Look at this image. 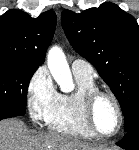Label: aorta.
Returning a JSON list of instances; mask_svg holds the SVG:
<instances>
[{
  "mask_svg": "<svg viewBox=\"0 0 139 150\" xmlns=\"http://www.w3.org/2000/svg\"><path fill=\"white\" fill-rule=\"evenodd\" d=\"M47 64L54 80L58 83L63 92L73 89L72 75L61 48L54 46L49 50Z\"/></svg>",
  "mask_w": 139,
  "mask_h": 150,
  "instance_id": "762f6f07",
  "label": "aorta"
}]
</instances>
